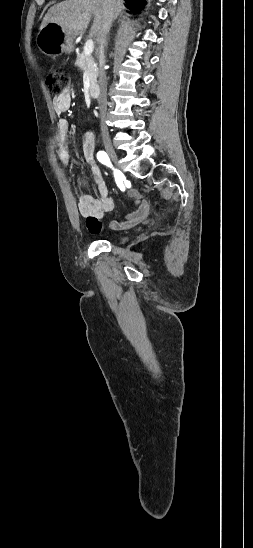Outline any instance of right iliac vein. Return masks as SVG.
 <instances>
[{
    "mask_svg": "<svg viewBox=\"0 0 253 548\" xmlns=\"http://www.w3.org/2000/svg\"><path fill=\"white\" fill-rule=\"evenodd\" d=\"M105 149H106V152L108 153L109 157L111 158V160L114 161L115 163H118V156H117V153L114 150L113 146L110 143H106L105 144Z\"/></svg>",
    "mask_w": 253,
    "mask_h": 548,
    "instance_id": "right-iliac-vein-1",
    "label": "right iliac vein"
}]
</instances>
